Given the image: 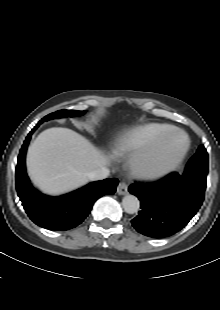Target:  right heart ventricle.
I'll return each mask as SVG.
<instances>
[{
    "label": "right heart ventricle",
    "mask_w": 220,
    "mask_h": 310,
    "mask_svg": "<svg viewBox=\"0 0 220 310\" xmlns=\"http://www.w3.org/2000/svg\"><path fill=\"white\" fill-rule=\"evenodd\" d=\"M172 127L162 123H148L121 136L114 144L117 154H129L151 148L157 139Z\"/></svg>",
    "instance_id": "obj_1"
}]
</instances>
